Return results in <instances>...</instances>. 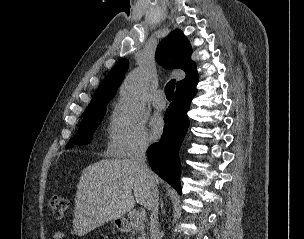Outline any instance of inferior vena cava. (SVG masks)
<instances>
[{
	"instance_id": "inferior-vena-cava-1",
	"label": "inferior vena cava",
	"mask_w": 304,
	"mask_h": 239,
	"mask_svg": "<svg viewBox=\"0 0 304 239\" xmlns=\"http://www.w3.org/2000/svg\"><path fill=\"white\" fill-rule=\"evenodd\" d=\"M148 144L146 141H140L134 147L131 154L132 163L138 168L140 175L145 179L146 184L150 190V233L151 239L159 238V222H158V205H159V192L157 189V178L155 174L146 165V150Z\"/></svg>"
}]
</instances>
